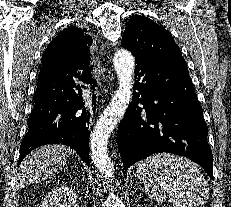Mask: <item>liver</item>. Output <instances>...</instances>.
Here are the masks:
<instances>
[{"label":"liver","instance_id":"1","mask_svg":"<svg viewBox=\"0 0 231 207\" xmlns=\"http://www.w3.org/2000/svg\"><path fill=\"white\" fill-rule=\"evenodd\" d=\"M74 151L64 145H45L29 154L20 165L19 187L51 177Z\"/></svg>","mask_w":231,"mask_h":207}]
</instances>
